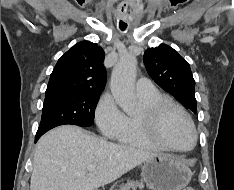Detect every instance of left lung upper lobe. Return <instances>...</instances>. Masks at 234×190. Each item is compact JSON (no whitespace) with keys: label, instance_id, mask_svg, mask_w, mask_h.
Listing matches in <instances>:
<instances>
[{"label":"left lung upper lobe","instance_id":"1","mask_svg":"<svg viewBox=\"0 0 234 190\" xmlns=\"http://www.w3.org/2000/svg\"><path fill=\"white\" fill-rule=\"evenodd\" d=\"M143 61L152 79L176 97L186 109L197 113L195 80L190 65L177 51L161 44L145 51Z\"/></svg>","mask_w":234,"mask_h":190}]
</instances>
